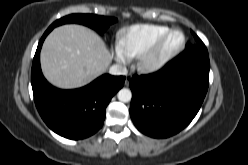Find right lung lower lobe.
<instances>
[{
    "mask_svg": "<svg viewBox=\"0 0 248 165\" xmlns=\"http://www.w3.org/2000/svg\"><path fill=\"white\" fill-rule=\"evenodd\" d=\"M48 28L39 41L31 71V84L37 110L55 133L68 139H83L96 133L103 125L106 107L123 87L125 77L102 75L89 85L75 90L51 86L40 68V50Z\"/></svg>",
    "mask_w": 248,
    "mask_h": 165,
    "instance_id": "obj_1",
    "label": "right lung lower lobe"
}]
</instances>
